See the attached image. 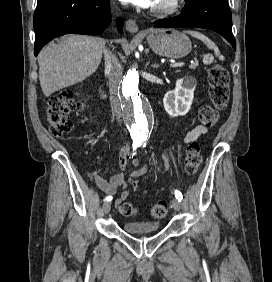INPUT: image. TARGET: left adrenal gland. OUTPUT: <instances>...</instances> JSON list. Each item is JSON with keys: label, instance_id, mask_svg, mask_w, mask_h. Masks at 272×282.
<instances>
[{"label": "left adrenal gland", "instance_id": "obj_1", "mask_svg": "<svg viewBox=\"0 0 272 282\" xmlns=\"http://www.w3.org/2000/svg\"><path fill=\"white\" fill-rule=\"evenodd\" d=\"M152 67H154V68L155 67H159V65L158 64H153Z\"/></svg>", "mask_w": 272, "mask_h": 282}]
</instances>
